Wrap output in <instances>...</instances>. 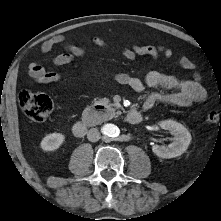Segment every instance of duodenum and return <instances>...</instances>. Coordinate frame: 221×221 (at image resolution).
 Wrapping results in <instances>:
<instances>
[{
    "label": "duodenum",
    "mask_w": 221,
    "mask_h": 221,
    "mask_svg": "<svg viewBox=\"0 0 221 221\" xmlns=\"http://www.w3.org/2000/svg\"><path fill=\"white\" fill-rule=\"evenodd\" d=\"M125 120L129 124H138L142 121V113L136 110L129 111L125 115ZM88 124L84 121L74 123L72 131L75 137L82 138L86 135Z\"/></svg>",
    "instance_id": "410a0bca"
}]
</instances>
